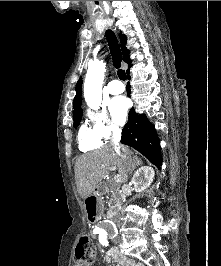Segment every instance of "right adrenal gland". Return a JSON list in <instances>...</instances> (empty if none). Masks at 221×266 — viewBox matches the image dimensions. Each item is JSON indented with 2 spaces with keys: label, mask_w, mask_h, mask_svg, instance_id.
Wrapping results in <instances>:
<instances>
[{
  "label": "right adrenal gland",
  "mask_w": 221,
  "mask_h": 266,
  "mask_svg": "<svg viewBox=\"0 0 221 266\" xmlns=\"http://www.w3.org/2000/svg\"><path fill=\"white\" fill-rule=\"evenodd\" d=\"M140 165H142V162H140V163L138 164V166H140ZM133 170H134V169H133ZM130 173H132V171H131Z\"/></svg>",
  "instance_id": "1"
}]
</instances>
